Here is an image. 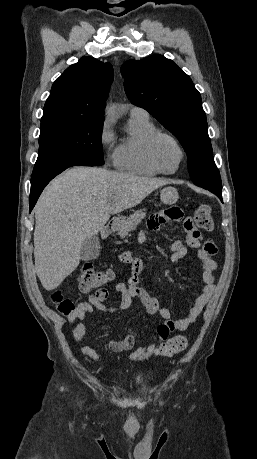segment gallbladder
Segmentation results:
<instances>
[{
    "label": "gallbladder",
    "instance_id": "bac80fb5",
    "mask_svg": "<svg viewBox=\"0 0 257 459\" xmlns=\"http://www.w3.org/2000/svg\"><path fill=\"white\" fill-rule=\"evenodd\" d=\"M100 253V242L97 235L84 241L80 250V257L83 261L96 259Z\"/></svg>",
    "mask_w": 257,
    "mask_h": 459
}]
</instances>
